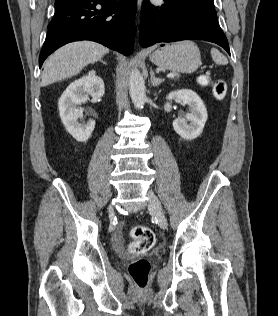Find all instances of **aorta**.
Returning <instances> with one entry per match:
<instances>
[{
  "mask_svg": "<svg viewBox=\"0 0 278 316\" xmlns=\"http://www.w3.org/2000/svg\"><path fill=\"white\" fill-rule=\"evenodd\" d=\"M129 93L134 106L142 109L146 102L145 82L138 69H133L129 80Z\"/></svg>",
  "mask_w": 278,
  "mask_h": 316,
  "instance_id": "aorta-1",
  "label": "aorta"
}]
</instances>
